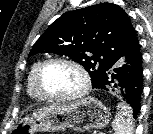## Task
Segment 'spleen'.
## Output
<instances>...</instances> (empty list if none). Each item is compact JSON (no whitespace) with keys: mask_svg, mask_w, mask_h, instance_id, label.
Listing matches in <instances>:
<instances>
[{"mask_svg":"<svg viewBox=\"0 0 153 134\" xmlns=\"http://www.w3.org/2000/svg\"><path fill=\"white\" fill-rule=\"evenodd\" d=\"M114 134H133V118L127 105L120 103L115 120L112 122Z\"/></svg>","mask_w":153,"mask_h":134,"instance_id":"3e777b00","label":"spleen"}]
</instances>
